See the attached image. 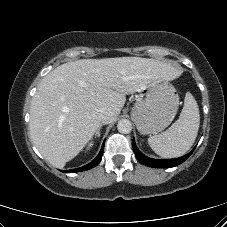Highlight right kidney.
<instances>
[{
	"mask_svg": "<svg viewBox=\"0 0 227 227\" xmlns=\"http://www.w3.org/2000/svg\"><path fill=\"white\" fill-rule=\"evenodd\" d=\"M92 146H93V143L91 142V143L89 144V146H88L87 149H89V148L92 147Z\"/></svg>",
	"mask_w": 227,
	"mask_h": 227,
	"instance_id": "obj_1",
	"label": "right kidney"
}]
</instances>
